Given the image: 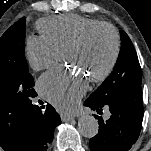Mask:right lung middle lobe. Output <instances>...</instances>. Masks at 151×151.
<instances>
[{"instance_id":"obj_1","label":"right lung middle lobe","mask_w":151,"mask_h":151,"mask_svg":"<svg viewBox=\"0 0 151 151\" xmlns=\"http://www.w3.org/2000/svg\"><path fill=\"white\" fill-rule=\"evenodd\" d=\"M25 17L12 25L0 38V99L31 103L34 80L24 54Z\"/></svg>"}]
</instances>
